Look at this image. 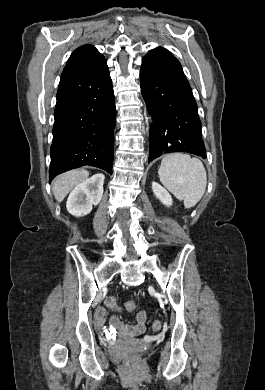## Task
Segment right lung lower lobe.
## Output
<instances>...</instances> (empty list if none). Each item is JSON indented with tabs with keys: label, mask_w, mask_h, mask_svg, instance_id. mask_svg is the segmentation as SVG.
Here are the masks:
<instances>
[{
	"label": "right lung lower lobe",
	"mask_w": 265,
	"mask_h": 390,
	"mask_svg": "<svg viewBox=\"0 0 265 390\" xmlns=\"http://www.w3.org/2000/svg\"><path fill=\"white\" fill-rule=\"evenodd\" d=\"M54 119L50 180L84 165L112 174L116 109L106 60L60 82Z\"/></svg>",
	"instance_id": "obj_1"
}]
</instances>
